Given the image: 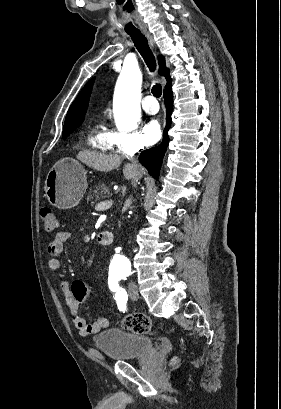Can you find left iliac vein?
I'll list each match as a JSON object with an SVG mask.
<instances>
[{
  "instance_id": "1",
  "label": "left iliac vein",
  "mask_w": 281,
  "mask_h": 409,
  "mask_svg": "<svg viewBox=\"0 0 281 409\" xmlns=\"http://www.w3.org/2000/svg\"><path fill=\"white\" fill-rule=\"evenodd\" d=\"M129 297L133 300L136 301L139 298V294H138V289L137 286L135 284H130L129 285Z\"/></svg>"
}]
</instances>
